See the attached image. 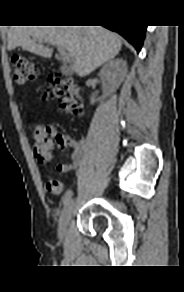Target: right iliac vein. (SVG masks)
<instances>
[{"mask_svg":"<svg viewBox=\"0 0 184 292\" xmlns=\"http://www.w3.org/2000/svg\"><path fill=\"white\" fill-rule=\"evenodd\" d=\"M74 210V201L70 200L64 207V210L62 212V215L59 220V225H58V234L62 238L67 230V226L69 223V220L72 217Z\"/></svg>","mask_w":184,"mask_h":292,"instance_id":"right-iliac-vein-1","label":"right iliac vein"}]
</instances>
